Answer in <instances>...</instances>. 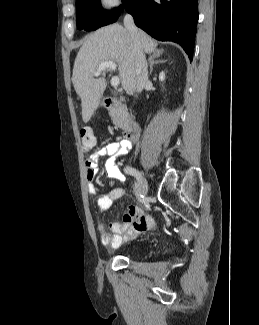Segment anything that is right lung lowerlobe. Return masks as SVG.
<instances>
[{"label":"right lung lower lobe","mask_w":259,"mask_h":325,"mask_svg":"<svg viewBox=\"0 0 259 325\" xmlns=\"http://www.w3.org/2000/svg\"><path fill=\"white\" fill-rule=\"evenodd\" d=\"M124 7L139 28L158 40L180 44L192 59L199 15L197 0H127Z\"/></svg>","instance_id":"right-lung-lower-lobe-1"}]
</instances>
